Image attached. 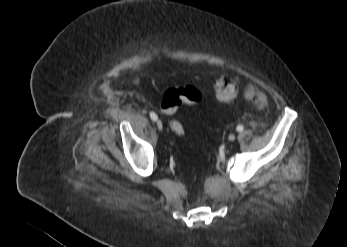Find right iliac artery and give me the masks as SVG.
I'll return each instance as SVG.
<instances>
[{
	"instance_id": "82829eb1",
	"label": "right iliac artery",
	"mask_w": 347,
	"mask_h": 247,
	"mask_svg": "<svg viewBox=\"0 0 347 247\" xmlns=\"http://www.w3.org/2000/svg\"><path fill=\"white\" fill-rule=\"evenodd\" d=\"M150 118L153 120V121H156L157 120V115L154 113V112H150Z\"/></svg>"
}]
</instances>
